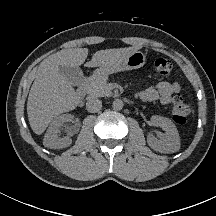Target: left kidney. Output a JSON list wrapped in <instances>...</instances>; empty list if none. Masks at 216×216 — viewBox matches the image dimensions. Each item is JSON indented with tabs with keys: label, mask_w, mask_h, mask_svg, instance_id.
Listing matches in <instances>:
<instances>
[{
	"label": "left kidney",
	"mask_w": 216,
	"mask_h": 216,
	"mask_svg": "<svg viewBox=\"0 0 216 216\" xmlns=\"http://www.w3.org/2000/svg\"><path fill=\"white\" fill-rule=\"evenodd\" d=\"M153 125L161 127L165 134L162 139H157L153 135L147 137L148 145L160 153H173L180 149V137L175 124L168 118L162 116H152Z\"/></svg>",
	"instance_id": "5707ae66"
}]
</instances>
